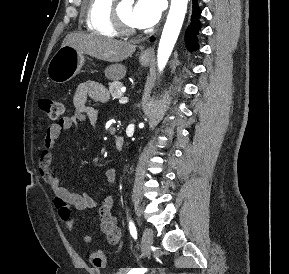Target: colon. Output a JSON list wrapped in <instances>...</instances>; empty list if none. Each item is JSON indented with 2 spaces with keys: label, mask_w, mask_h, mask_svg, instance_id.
<instances>
[{
  "label": "colon",
  "mask_w": 289,
  "mask_h": 274,
  "mask_svg": "<svg viewBox=\"0 0 289 274\" xmlns=\"http://www.w3.org/2000/svg\"><path fill=\"white\" fill-rule=\"evenodd\" d=\"M40 108L45 112V114L52 120L60 118L64 112V106L60 101L53 99H41L39 102ZM92 264L99 269L106 267V257L105 255L97 250L93 251L90 256ZM132 274V273H129Z\"/></svg>",
  "instance_id": "1"
}]
</instances>
